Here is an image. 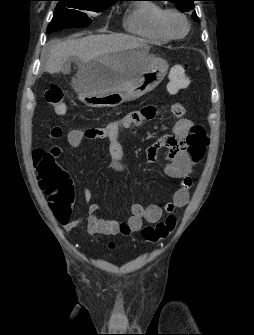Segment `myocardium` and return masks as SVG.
<instances>
[{"instance_id": "1", "label": "myocardium", "mask_w": 254, "mask_h": 335, "mask_svg": "<svg viewBox=\"0 0 254 335\" xmlns=\"http://www.w3.org/2000/svg\"><path fill=\"white\" fill-rule=\"evenodd\" d=\"M171 14L179 16L185 22L186 30L182 35L175 36L167 30L166 25H165V18L168 15H171ZM157 27H158V30L160 31V33L163 34L169 40H179V39L184 38L189 33L190 28H191V24H190L189 19L187 18V16L183 12H181L177 9L167 8V9H163L161 11V13L159 14V16L157 18Z\"/></svg>"}]
</instances>
